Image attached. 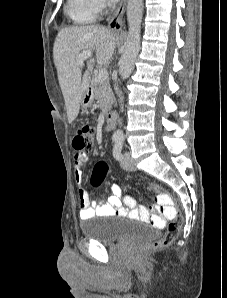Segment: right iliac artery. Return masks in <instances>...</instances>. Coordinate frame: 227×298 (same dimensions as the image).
Returning a JSON list of instances; mask_svg holds the SVG:
<instances>
[{"mask_svg":"<svg viewBox=\"0 0 227 298\" xmlns=\"http://www.w3.org/2000/svg\"><path fill=\"white\" fill-rule=\"evenodd\" d=\"M119 140H120L119 137H114V138H113V141H115V142H117V141H119Z\"/></svg>","mask_w":227,"mask_h":298,"instance_id":"1","label":"right iliac artery"}]
</instances>
